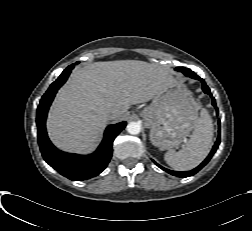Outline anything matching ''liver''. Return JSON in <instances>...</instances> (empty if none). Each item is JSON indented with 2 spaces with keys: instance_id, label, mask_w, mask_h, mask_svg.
Here are the masks:
<instances>
[{
  "instance_id": "liver-1",
  "label": "liver",
  "mask_w": 252,
  "mask_h": 231,
  "mask_svg": "<svg viewBox=\"0 0 252 231\" xmlns=\"http://www.w3.org/2000/svg\"><path fill=\"white\" fill-rule=\"evenodd\" d=\"M174 83L169 70L138 60L95 62L79 68L50 108L49 137L62 150L85 152L109 120L123 118L131 105L150 101Z\"/></svg>"
}]
</instances>
